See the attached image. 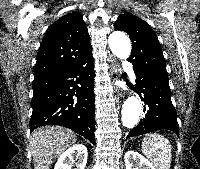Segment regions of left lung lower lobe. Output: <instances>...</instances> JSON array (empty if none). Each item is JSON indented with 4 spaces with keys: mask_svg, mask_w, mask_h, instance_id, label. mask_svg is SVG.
Returning <instances> with one entry per match:
<instances>
[{
    "mask_svg": "<svg viewBox=\"0 0 200 169\" xmlns=\"http://www.w3.org/2000/svg\"><path fill=\"white\" fill-rule=\"evenodd\" d=\"M133 68L137 87L144 94L146 115L138 126L127 134L126 139L161 129L179 135L177 113L171 102L168 79L156 76L145 69Z\"/></svg>",
    "mask_w": 200,
    "mask_h": 169,
    "instance_id": "obj_1",
    "label": "left lung lower lobe"
}]
</instances>
